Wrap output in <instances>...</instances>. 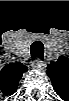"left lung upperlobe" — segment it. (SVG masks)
<instances>
[{
	"instance_id": "obj_1",
	"label": "left lung upper lobe",
	"mask_w": 69,
	"mask_h": 101,
	"mask_svg": "<svg viewBox=\"0 0 69 101\" xmlns=\"http://www.w3.org/2000/svg\"><path fill=\"white\" fill-rule=\"evenodd\" d=\"M47 71L55 92L61 96L69 83V59L60 57L56 62L48 65Z\"/></svg>"
}]
</instances>
